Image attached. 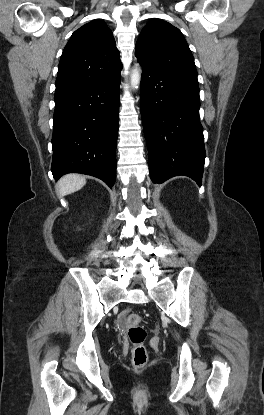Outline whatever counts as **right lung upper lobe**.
Instances as JSON below:
<instances>
[{"label": "right lung upper lobe", "mask_w": 264, "mask_h": 415, "mask_svg": "<svg viewBox=\"0 0 264 415\" xmlns=\"http://www.w3.org/2000/svg\"><path fill=\"white\" fill-rule=\"evenodd\" d=\"M121 69L112 31L103 20L96 19L76 30L66 44L55 93L111 79Z\"/></svg>", "instance_id": "obj_1"}]
</instances>
